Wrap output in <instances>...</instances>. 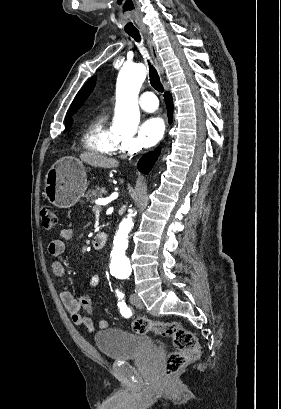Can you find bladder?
<instances>
[{"instance_id":"obj_1","label":"bladder","mask_w":281,"mask_h":409,"mask_svg":"<svg viewBox=\"0 0 281 409\" xmlns=\"http://www.w3.org/2000/svg\"><path fill=\"white\" fill-rule=\"evenodd\" d=\"M96 350L108 361L127 362L133 355H156L158 344L145 333H133L119 327H106L92 337Z\"/></svg>"}]
</instances>
